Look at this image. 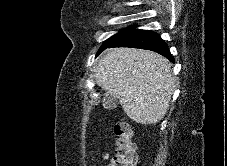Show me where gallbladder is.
I'll return each mask as SVG.
<instances>
[{
    "mask_svg": "<svg viewBox=\"0 0 227 166\" xmlns=\"http://www.w3.org/2000/svg\"><path fill=\"white\" fill-rule=\"evenodd\" d=\"M103 106L106 109H114L117 106V100L111 93L105 91L103 95Z\"/></svg>",
    "mask_w": 227,
    "mask_h": 166,
    "instance_id": "bac80fb5",
    "label": "gallbladder"
}]
</instances>
